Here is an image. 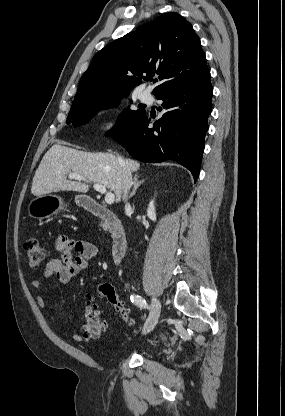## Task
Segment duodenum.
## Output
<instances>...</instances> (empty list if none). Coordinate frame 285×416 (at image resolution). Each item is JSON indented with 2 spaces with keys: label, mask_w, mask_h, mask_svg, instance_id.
Here are the masks:
<instances>
[{
  "label": "duodenum",
  "mask_w": 285,
  "mask_h": 416,
  "mask_svg": "<svg viewBox=\"0 0 285 416\" xmlns=\"http://www.w3.org/2000/svg\"><path fill=\"white\" fill-rule=\"evenodd\" d=\"M79 203L81 206H86L94 216L105 222L112 239L111 252L113 261L120 263L127 250V236L117 216L102 204L97 203L96 197H87L85 194H82Z\"/></svg>",
  "instance_id": "duodenum-1"
}]
</instances>
